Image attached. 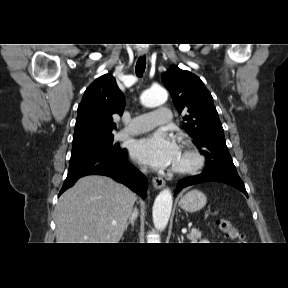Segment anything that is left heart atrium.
Wrapping results in <instances>:
<instances>
[{
    "instance_id": "1",
    "label": "left heart atrium",
    "mask_w": 288,
    "mask_h": 288,
    "mask_svg": "<svg viewBox=\"0 0 288 288\" xmlns=\"http://www.w3.org/2000/svg\"><path fill=\"white\" fill-rule=\"evenodd\" d=\"M179 153L175 140L164 131L137 139L131 147V155L135 160L157 169L175 165Z\"/></svg>"
}]
</instances>
